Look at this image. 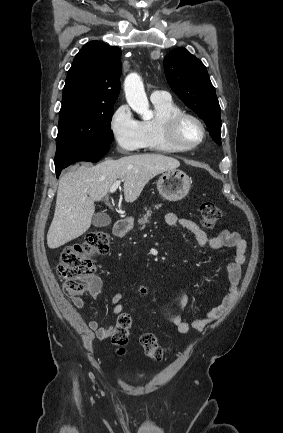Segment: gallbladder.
<instances>
[{"instance_id":"1","label":"gallbladder","mask_w":283,"mask_h":433,"mask_svg":"<svg viewBox=\"0 0 283 433\" xmlns=\"http://www.w3.org/2000/svg\"><path fill=\"white\" fill-rule=\"evenodd\" d=\"M110 223L111 219L109 214H104V212H97V214H94V217H92V225H94V227H107Z\"/></svg>"}]
</instances>
